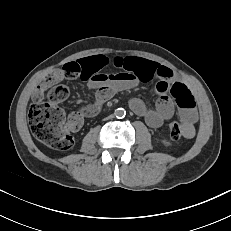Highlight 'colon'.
Masks as SVG:
<instances>
[{"label":"colon","mask_w":231,"mask_h":231,"mask_svg":"<svg viewBox=\"0 0 231 231\" xmlns=\"http://www.w3.org/2000/svg\"><path fill=\"white\" fill-rule=\"evenodd\" d=\"M66 77L75 78L80 74L77 64L68 63L63 67ZM47 99L44 102L34 99L29 108V125L33 135L45 145L65 151L73 146V138L69 131L78 127L83 118L78 112L70 113L67 117L58 103L69 96L70 90L64 84H54L47 88ZM183 126L179 122H172L169 125V134L173 140L183 136Z\"/></svg>","instance_id":"colon-1"}]
</instances>
